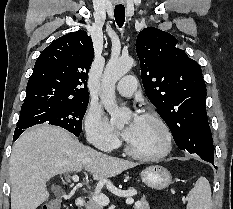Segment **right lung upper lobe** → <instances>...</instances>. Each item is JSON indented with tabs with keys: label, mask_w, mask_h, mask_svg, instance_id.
<instances>
[{
	"label": "right lung upper lobe",
	"mask_w": 233,
	"mask_h": 209,
	"mask_svg": "<svg viewBox=\"0 0 233 209\" xmlns=\"http://www.w3.org/2000/svg\"><path fill=\"white\" fill-rule=\"evenodd\" d=\"M93 43L83 30L54 40L38 57L24 104L89 100L87 78Z\"/></svg>",
	"instance_id": "right-lung-upper-lobe-1"
}]
</instances>
